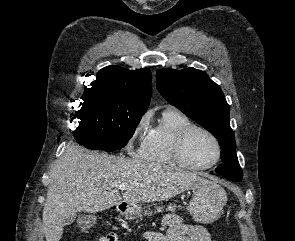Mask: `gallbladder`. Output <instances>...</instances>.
<instances>
[{
    "instance_id": "1",
    "label": "gallbladder",
    "mask_w": 295,
    "mask_h": 241,
    "mask_svg": "<svg viewBox=\"0 0 295 241\" xmlns=\"http://www.w3.org/2000/svg\"><path fill=\"white\" fill-rule=\"evenodd\" d=\"M75 219H76V215H75V214L69 216V217L65 220L64 225H70V224H72V223L75 221Z\"/></svg>"
}]
</instances>
